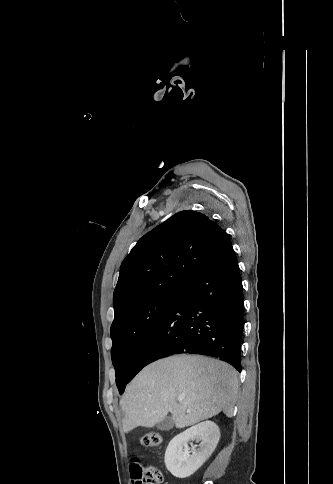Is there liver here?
<instances>
[{"instance_id": "6515ba94", "label": "liver", "mask_w": 333, "mask_h": 484, "mask_svg": "<svg viewBox=\"0 0 333 484\" xmlns=\"http://www.w3.org/2000/svg\"><path fill=\"white\" fill-rule=\"evenodd\" d=\"M238 374L229 364L204 356L181 355L146 366L127 386L120 406L123 431L151 428L170 412L177 428L223 411L232 417ZM184 399L179 402L178 397Z\"/></svg>"}]
</instances>
